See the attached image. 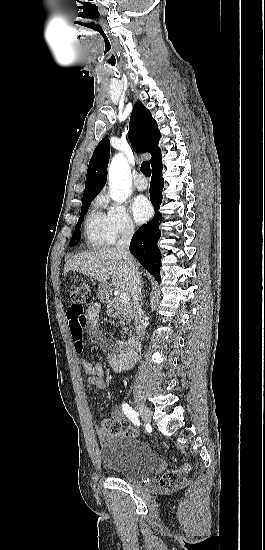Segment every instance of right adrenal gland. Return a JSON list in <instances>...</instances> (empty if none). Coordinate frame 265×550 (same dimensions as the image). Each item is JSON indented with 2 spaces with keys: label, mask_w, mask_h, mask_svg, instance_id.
<instances>
[{
  "label": "right adrenal gland",
  "mask_w": 265,
  "mask_h": 550,
  "mask_svg": "<svg viewBox=\"0 0 265 550\" xmlns=\"http://www.w3.org/2000/svg\"><path fill=\"white\" fill-rule=\"evenodd\" d=\"M142 284H143V282H142L141 285H140V297H141V298H142V292H141Z\"/></svg>",
  "instance_id": "obj_1"
}]
</instances>
